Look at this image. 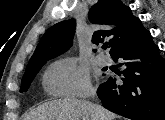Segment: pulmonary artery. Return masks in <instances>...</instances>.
Listing matches in <instances>:
<instances>
[{
  "label": "pulmonary artery",
  "mask_w": 165,
  "mask_h": 120,
  "mask_svg": "<svg viewBox=\"0 0 165 120\" xmlns=\"http://www.w3.org/2000/svg\"><path fill=\"white\" fill-rule=\"evenodd\" d=\"M96 61L99 65H102V66L110 64V58L104 54L97 55Z\"/></svg>",
  "instance_id": "1"
}]
</instances>
